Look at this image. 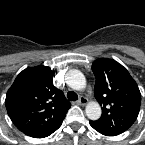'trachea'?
Instances as JSON below:
<instances>
[{
	"label": "trachea",
	"mask_w": 145,
	"mask_h": 145,
	"mask_svg": "<svg viewBox=\"0 0 145 145\" xmlns=\"http://www.w3.org/2000/svg\"><path fill=\"white\" fill-rule=\"evenodd\" d=\"M67 98H68L70 101H75V100L78 99V95H77L75 92H73V91H69V92L67 93Z\"/></svg>",
	"instance_id": "obj_1"
}]
</instances>
